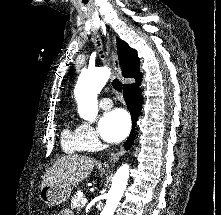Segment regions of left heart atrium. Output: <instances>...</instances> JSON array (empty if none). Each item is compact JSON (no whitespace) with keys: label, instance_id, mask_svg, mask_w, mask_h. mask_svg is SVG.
Segmentation results:
<instances>
[{"label":"left heart atrium","instance_id":"left-heart-atrium-1","mask_svg":"<svg viewBox=\"0 0 221 215\" xmlns=\"http://www.w3.org/2000/svg\"><path fill=\"white\" fill-rule=\"evenodd\" d=\"M129 129L130 118L122 109H113L107 112L99 124L101 136L109 142H118L124 139Z\"/></svg>","mask_w":221,"mask_h":215}]
</instances>
